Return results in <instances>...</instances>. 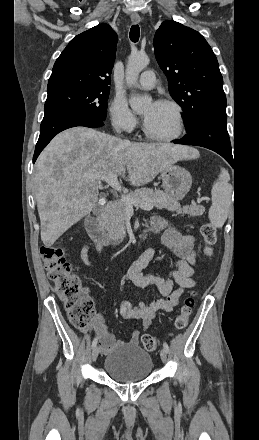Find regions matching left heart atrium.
Here are the masks:
<instances>
[{"mask_svg": "<svg viewBox=\"0 0 259 440\" xmlns=\"http://www.w3.org/2000/svg\"><path fill=\"white\" fill-rule=\"evenodd\" d=\"M156 106H157V103H156V102H154V103L151 104V106H150L149 110L147 111V113L144 114V121H145V120L150 116V114L155 110Z\"/></svg>", "mask_w": 259, "mask_h": 440, "instance_id": "39dd6f15", "label": "left heart atrium"}]
</instances>
